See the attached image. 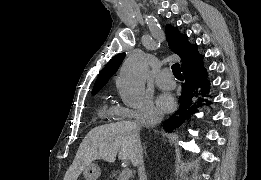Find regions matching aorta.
<instances>
[{"instance_id":"1","label":"aorta","mask_w":261,"mask_h":180,"mask_svg":"<svg viewBox=\"0 0 261 180\" xmlns=\"http://www.w3.org/2000/svg\"><path fill=\"white\" fill-rule=\"evenodd\" d=\"M147 70L148 63L141 55L132 54L123 63L116 85L125 105L138 108L143 104Z\"/></svg>"}]
</instances>
